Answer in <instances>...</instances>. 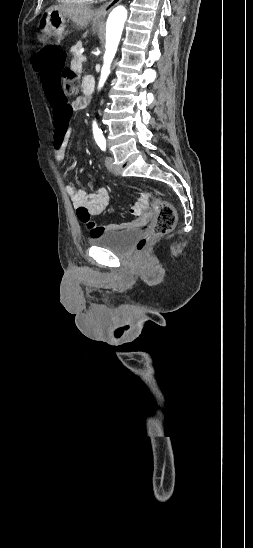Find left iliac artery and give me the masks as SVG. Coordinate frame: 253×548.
Wrapping results in <instances>:
<instances>
[{"instance_id": "44dca946", "label": "left iliac artery", "mask_w": 253, "mask_h": 548, "mask_svg": "<svg viewBox=\"0 0 253 548\" xmlns=\"http://www.w3.org/2000/svg\"><path fill=\"white\" fill-rule=\"evenodd\" d=\"M97 144L99 145L101 150H103V151L106 150V140L104 138L103 139H98Z\"/></svg>"}]
</instances>
